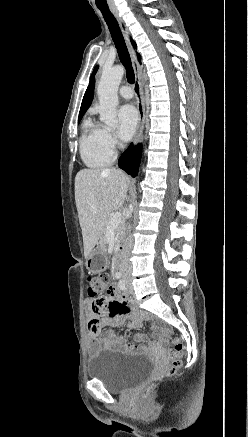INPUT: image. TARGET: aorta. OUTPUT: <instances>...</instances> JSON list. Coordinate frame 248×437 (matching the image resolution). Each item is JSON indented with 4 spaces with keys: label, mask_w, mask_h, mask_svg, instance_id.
Instances as JSON below:
<instances>
[{
    "label": "aorta",
    "mask_w": 248,
    "mask_h": 437,
    "mask_svg": "<svg viewBox=\"0 0 248 437\" xmlns=\"http://www.w3.org/2000/svg\"><path fill=\"white\" fill-rule=\"evenodd\" d=\"M123 75L124 68L122 66L104 70L97 89L100 120L112 128L117 125V92Z\"/></svg>",
    "instance_id": "aorta-1"
}]
</instances>
